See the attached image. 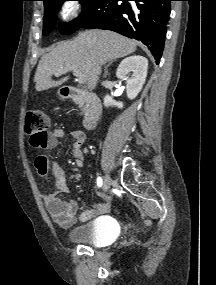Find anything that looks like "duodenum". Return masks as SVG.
Here are the masks:
<instances>
[{
  "mask_svg": "<svg viewBox=\"0 0 216 285\" xmlns=\"http://www.w3.org/2000/svg\"><path fill=\"white\" fill-rule=\"evenodd\" d=\"M62 95L74 102L86 104L87 110L84 125L87 129L94 128L101 112L99 98L93 93L70 86L62 89Z\"/></svg>",
  "mask_w": 216,
  "mask_h": 285,
  "instance_id": "1",
  "label": "duodenum"
}]
</instances>
